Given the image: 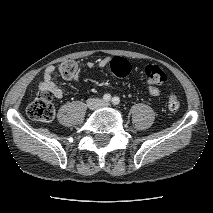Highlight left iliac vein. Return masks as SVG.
<instances>
[{
	"label": "left iliac vein",
	"instance_id": "4c4485c4",
	"mask_svg": "<svg viewBox=\"0 0 213 213\" xmlns=\"http://www.w3.org/2000/svg\"><path fill=\"white\" fill-rule=\"evenodd\" d=\"M103 106L108 107L109 104L108 103H103Z\"/></svg>",
	"mask_w": 213,
	"mask_h": 213
}]
</instances>
